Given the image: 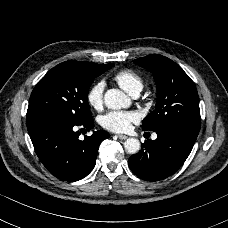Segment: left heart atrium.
Here are the masks:
<instances>
[{"instance_id":"1","label":"left heart atrium","mask_w":228,"mask_h":228,"mask_svg":"<svg viewBox=\"0 0 228 228\" xmlns=\"http://www.w3.org/2000/svg\"><path fill=\"white\" fill-rule=\"evenodd\" d=\"M138 120L135 112H125L120 110H112L101 118V124L109 131L122 133L127 132L131 128V124Z\"/></svg>"}]
</instances>
